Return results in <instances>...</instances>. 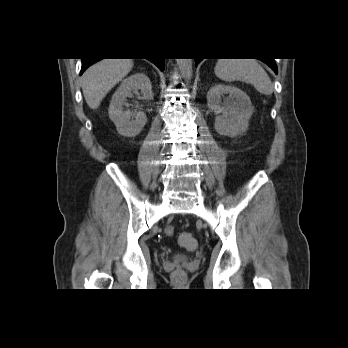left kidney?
Returning a JSON list of instances; mask_svg holds the SVG:
<instances>
[{
	"label": "left kidney",
	"mask_w": 348,
	"mask_h": 348,
	"mask_svg": "<svg viewBox=\"0 0 348 348\" xmlns=\"http://www.w3.org/2000/svg\"><path fill=\"white\" fill-rule=\"evenodd\" d=\"M227 94L229 96L222 105V98ZM207 104L217 114L215 130L218 134L236 137L248 129L253 108L249 96L241 89L223 84L215 85L207 94Z\"/></svg>",
	"instance_id": "obj_1"
}]
</instances>
